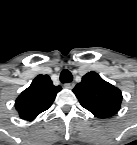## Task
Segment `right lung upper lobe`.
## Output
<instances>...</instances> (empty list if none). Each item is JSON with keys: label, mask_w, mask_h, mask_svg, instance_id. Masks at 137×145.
I'll return each instance as SVG.
<instances>
[{"label": "right lung upper lobe", "mask_w": 137, "mask_h": 145, "mask_svg": "<svg viewBox=\"0 0 137 145\" xmlns=\"http://www.w3.org/2000/svg\"><path fill=\"white\" fill-rule=\"evenodd\" d=\"M60 86H54L48 75H38L17 98L15 104L20 117L35 119L52 105Z\"/></svg>", "instance_id": "1"}]
</instances>
